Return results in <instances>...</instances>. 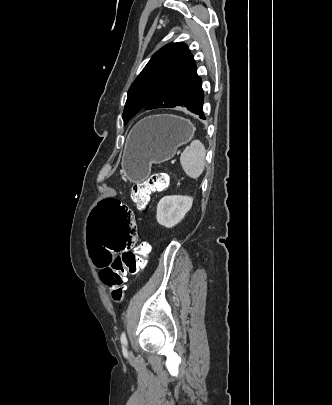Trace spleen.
<instances>
[{
    "label": "spleen",
    "mask_w": 332,
    "mask_h": 405,
    "mask_svg": "<svg viewBox=\"0 0 332 405\" xmlns=\"http://www.w3.org/2000/svg\"><path fill=\"white\" fill-rule=\"evenodd\" d=\"M206 149L200 140H193L180 156L184 172L192 179L199 178L205 168Z\"/></svg>",
    "instance_id": "1"
}]
</instances>
